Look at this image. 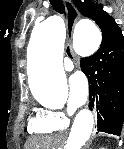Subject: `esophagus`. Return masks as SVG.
<instances>
[{
	"label": "esophagus",
	"mask_w": 124,
	"mask_h": 149,
	"mask_svg": "<svg viewBox=\"0 0 124 149\" xmlns=\"http://www.w3.org/2000/svg\"><path fill=\"white\" fill-rule=\"evenodd\" d=\"M66 12H67V44L70 46L73 30L76 22L78 21L80 14L77 8L74 6L71 0H63Z\"/></svg>",
	"instance_id": "obj_1"
}]
</instances>
